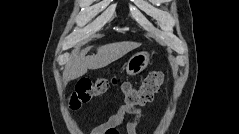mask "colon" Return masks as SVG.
<instances>
[{
    "mask_svg": "<svg viewBox=\"0 0 239 134\" xmlns=\"http://www.w3.org/2000/svg\"><path fill=\"white\" fill-rule=\"evenodd\" d=\"M163 83L164 76L162 72L153 71L142 81L138 88H134L128 81L121 82L120 88L128 105L143 106L150 103L155 94L162 90ZM117 84L116 78H81L70 96L69 106L72 110H78L93 98L105 93L111 85Z\"/></svg>",
    "mask_w": 239,
    "mask_h": 134,
    "instance_id": "1",
    "label": "colon"
}]
</instances>
